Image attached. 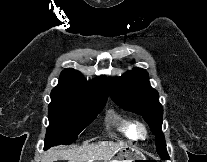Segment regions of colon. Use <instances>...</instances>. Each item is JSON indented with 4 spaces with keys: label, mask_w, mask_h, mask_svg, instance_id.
<instances>
[{
    "label": "colon",
    "mask_w": 207,
    "mask_h": 162,
    "mask_svg": "<svg viewBox=\"0 0 207 162\" xmlns=\"http://www.w3.org/2000/svg\"><path fill=\"white\" fill-rule=\"evenodd\" d=\"M142 162H157V161L147 160V161H142Z\"/></svg>",
    "instance_id": "obj_1"
}]
</instances>
